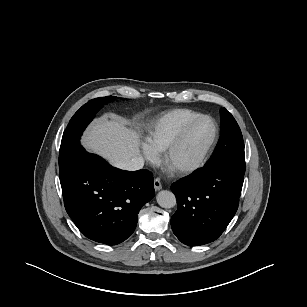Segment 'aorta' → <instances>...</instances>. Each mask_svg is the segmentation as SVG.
Here are the masks:
<instances>
[{"instance_id": "obj_1", "label": "aorta", "mask_w": 307, "mask_h": 307, "mask_svg": "<svg viewBox=\"0 0 307 307\" xmlns=\"http://www.w3.org/2000/svg\"><path fill=\"white\" fill-rule=\"evenodd\" d=\"M156 200L157 203L163 208H172L176 205V197L171 191H160L156 196Z\"/></svg>"}]
</instances>
